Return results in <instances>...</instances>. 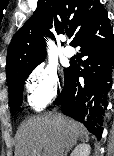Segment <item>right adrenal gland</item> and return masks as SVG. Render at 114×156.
Returning a JSON list of instances; mask_svg holds the SVG:
<instances>
[{"instance_id": "obj_1", "label": "right adrenal gland", "mask_w": 114, "mask_h": 156, "mask_svg": "<svg viewBox=\"0 0 114 156\" xmlns=\"http://www.w3.org/2000/svg\"><path fill=\"white\" fill-rule=\"evenodd\" d=\"M81 141H83V139H81ZM76 145V143H74L73 145H71V147H69L66 152H65V156H67L68 152L71 150V148Z\"/></svg>"}]
</instances>
